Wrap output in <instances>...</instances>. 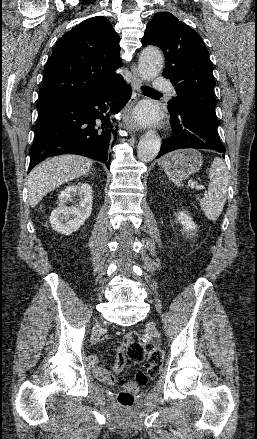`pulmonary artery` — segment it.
Instances as JSON below:
<instances>
[{
    "mask_svg": "<svg viewBox=\"0 0 257 439\" xmlns=\"http://www.w3.org/2000/svg\"><path fill=\"white\" fill-rule=\"evenodd\" d=\"M154 90L158 93H165L168 96H173L175 94L170 81L164 77H156L154 79Z\"/></svg>",
    "mask_w": 257,
    "mask_h": 439,
    "instance_id": "pulmonary-artery-1",
    "label": "pulmonary artery"
}]
</instances>
